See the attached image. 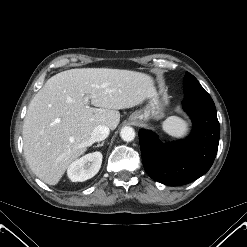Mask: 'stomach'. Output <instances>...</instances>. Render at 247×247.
Segmentation results:
<instances>
[{
  "label": "stomach",
  "instance_id": "obj_1",
  "mask_svg": "<svg viewBox=\"0 0 247 247\" xmlns=\"http://www.w3.org/2000/svg\"><path fill=\"white\" fill-rule=\"evenodd\" d=\"M148 104L141 110L135 111L129 117L130 121H147L159 119L164 115V102L157 93L149 97Z\"/></svg>",
  "mask_w": 247,
  "mask_h": 247
}]
</instances>
